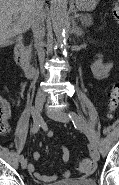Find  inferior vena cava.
<instances>
[{
  "label": "inferior vena cava",
  "instance_id": "1",
  "mask_svg": "<svg viewBox=\"0 0 119 185\" xmlns=\"http://www.w3.org/2000/svg\"><path fill=\"white\" fill-rule=\"evenodd\" d=\"M45 17H46L45 13L42 12L40 9L36 12L32 23V31L35 39V45L37 48L42 73H44L43 64L45 60V52L43 49V38L45 36V29H44L43 23H44ZM37 98L45 99L46 94L43 91L39 90L37 93Z\"/></svg>",
  "mask_w": 119,
  "mask_h": 185
}]
</instances>
